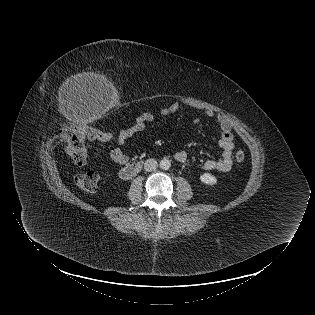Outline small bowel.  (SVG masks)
<instances>
[{
  "label": "small bowel",
  "instance_id": "c3829d8e",
  "mask_svg": "<svg viewBox=\"0 0 315 315\" xmlns=\"http://www.w3.org/2000/svg\"><path fill=\"white\" fill-rule=\"evenodd\" d=\"M181 111V105L179 103H173L170 106L161 110L163 116H169L177 114ZM216 118L221 134L217 141L218 146L223 150L222 157L220 159H208L203 163V168L207 171H220L227 172L233 166V150L234 135L232 132V123L229 117L224 113H215L212 110H205L200 116L194 117V122L199 123L204 119ZM155 117L151 113H142L139 115L132 125L127 128L121 129L116 136V141L119 145L125 144V142L134 135L142 132L146 125L152 123ZM110 159L118 165H126L129 161V157L120 148H114L109 152ZM175 159L179 162H185L187 159V153L183 150L177 151L174 155Z\"/></svg>",
  "mask_w": 315,
  "mask_h": 315
}]
</instances>
